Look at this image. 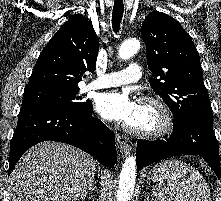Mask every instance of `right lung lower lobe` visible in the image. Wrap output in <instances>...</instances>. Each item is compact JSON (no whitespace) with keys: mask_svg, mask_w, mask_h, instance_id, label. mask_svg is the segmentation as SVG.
I'll return each mask as SVG.
<instances>
[{"mask_svg":"<svg viewBox=\"0 0 221 201\" xmlns=\"http://www.w3.org/2000/svg\"><path fill=\"white\" fill-rule=\"evenodd\" d=\"M92 111V106L78 112L42 103L22 105L10 144L8 175L26 150L48 140L73 145L113 167L117 161L114 134L92 117Z\"/></svg>","mask_w":221,"mask_h":201,"instance_id":"1","label":"right lung lower lobe"}]
</instances>
